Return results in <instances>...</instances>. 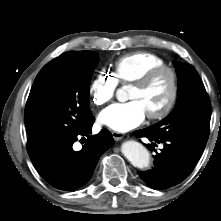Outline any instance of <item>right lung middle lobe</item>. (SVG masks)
Masks as SVG:
<instances>
[{"instance_id":"obj_1","label":"right lung middle lobe","mask_w":221,"mask_h":221,"mask_svg":"<svg viewBox=\"0 0 221 221\" xmlns=\"http://www.w3.org/2000/svg\"><path fill=\"white\" fill-rule=\"evenodd\" d=\"M99 61L92 51L66 52L35 78L25 107L28 142L69 139L92 117L89 84Z\"/></svg>"}]
</instances>
